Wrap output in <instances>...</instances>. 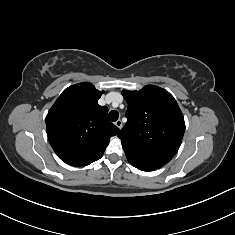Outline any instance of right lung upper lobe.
Wrapping results in <instances>:
<instances>
[{
    "instance_id": "obj_1",
    "label": "right lung upper lobe",
    "mask_w": 235,
    "mask_h": 235,
    "mask_svg": "<svg viewBox=\"0 0 235 235\" xmlns=\"http://www.w3.org/2000/svg\"><path fill=\"white\" fill-rule=\"evenodd\" d=\"M102 92L88 82L65 89L46 116L47 135L65 163L82 167L100 159L119 128L108 118V108L97 101Z\"/></svg>"
}]
</instances>
